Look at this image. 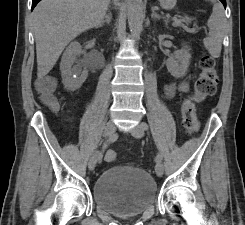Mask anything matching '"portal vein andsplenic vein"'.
<instances>
[{
    "label": "portal vein and splenic vein",
    "instance_id": "18ae733b",
    "mask_svg": "<svg viewBox=\"0 0 245 225\" xmlns=\"http://www.w3.org/2000/svg\"><path fill=\"white\" fill-rule=\"evenodd\" d=\"M173 21H174V23H173V26H174L176 23H180L182 21V19H179L177 17H173Z\"/></svg>",
    "mask_w": 245,
    "mask_h": 225
}]
</instances>
